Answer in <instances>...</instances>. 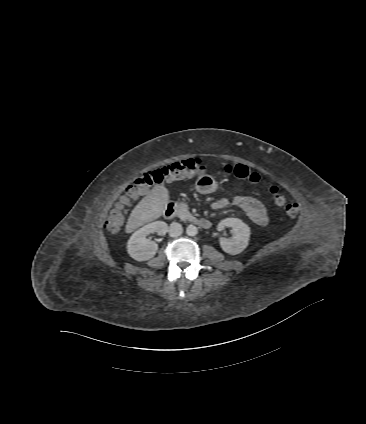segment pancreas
Masks as SVG:
<instances>
[{
    "mask_svg": "<svg viewBox=\"0 0 366 424\" xmlns=\"http://www.w3.org/2000/svg\"><path fill=\"white\" fill-rule=\"evenodd\" d=\"M178 209L185 219L194 220V216L189 212L188 205L185 202L179 203Z\"/></svg>",
    "mask_w": 366,
    "mask_h": 424,
    "instance_id": "pancreas-1",
    "label": "pancreas"
}]
</instances>
